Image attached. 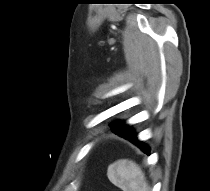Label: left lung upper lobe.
Returning a JSON list of instances; mask_svg holds the SVG:
<instances>
[{
    "label": "left lung upper lobe",
    "mask_w": 210,
    "mask_h": 191,
    "mask_svg": "<svg viewBox=\"0 0 210 191\" xmlns=\"http://www.w3.org/2000/svg\"><path fill=\"white\" fill-rule=\"evenodd\" d=\"M111 130L119 136L133 132V130L130 129L129 126L124 125L123 122H115L113 125H111Z\"/></svg>",
    "instance_id": "left-lung-upper-lobe-1"
}]
</instances>
